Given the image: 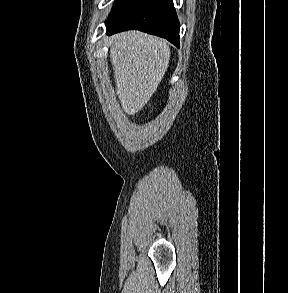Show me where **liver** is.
Masks as SVG:
<instances>
[{
    "label": "liver",
    "mask_w": 288,
    "mask_h": 293,
    "mask_svg": "<svg viewBox=\"0 0 288 293\" xmlns=\"http://www.w3.org/2000/svg\"><path fill=\"white\" fill-rule=\"evenodd\" d=\"M110 58L121 106L135 115L149 102L168 69L169 45L159 37L127 31L112 37Z\"/></svg>",
    "instance_id": "obj_1"
}]
</instances>
